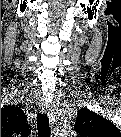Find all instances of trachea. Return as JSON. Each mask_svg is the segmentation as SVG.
<instances>
[{"mask_svg":"<svg viewBox=\"0 0 121 137\" xmlns=\"http://www.w3.org/2000/svg\"><path fill=\"white\" fill-rule=\"evenodd\" d=\"M37 126L39 131L47 129V127L49 126V119L47 115L40 113L37 115Z\"/></svg>","mask_w":121,"mask_h":137,"instance_id":"obj_1","label":"trachea"}]
</instances>
